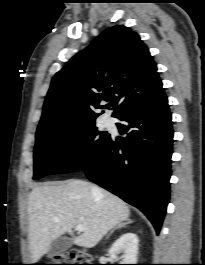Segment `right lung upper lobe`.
<instances>
[{
	"instance_id": "obj_1",
	"label": "right lung upper lobe",
	"mask_w": 205,
	"mask_h": 265,
	"mask_svg": "<svg viewBox=\"0 0 205 265\" xmlns=\"http://www.w3.org/2000/svg\"><path fill=\"white\" fill-rule=\"evenodd\" d=\"M157 66L136 32L105 30L55 74L37 131L95 120L112 106L113 117L139 108L162 91Z\"/></svg>"
}]
</instances>
